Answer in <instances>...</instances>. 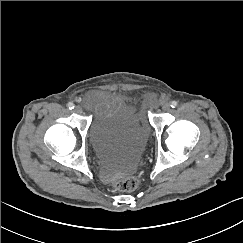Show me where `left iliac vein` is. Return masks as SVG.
Returning <instances> with one entry per match:
<instances>
[{
	"instance_id": "1",
	"label": "left iliac vein",
	"mask_w": 243,
	"mask_h": 243,
	"mask_svg": "<svg viewBox=\"0 0 243 243\" xmlns=\"http://www.w3.org/2000/svg\"><path fill=\"white\" fill-rule=\"evenodd\" d=\"M170 108H171V106H170L169 103H165V104L162 106L163 111H169Z\"/></svg>"
}]
</instances>
